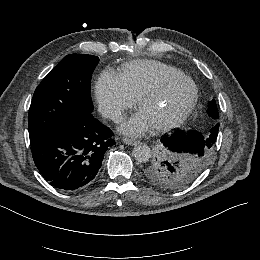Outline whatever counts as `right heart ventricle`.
Instances as JSON below:
<instances>
[{
    "label": "right heart ventricle",
    "mask_w": 260,
    "mask_h": 260,
    "mask_svg": "<svg viewBox=\"0 0 260 260\" xmlns=\"http://www.w3.org/2000/svg\"><path fill=\"white\" fill-rule=\"evenodd\" d=\"M181 74L176 68L158 61H140L133 63L126 74L122 76V81L126 89L134 96L138 97L155 81Z\"/></svg>",
    "instance_id": "e07e8e85"
}]
</instances>
